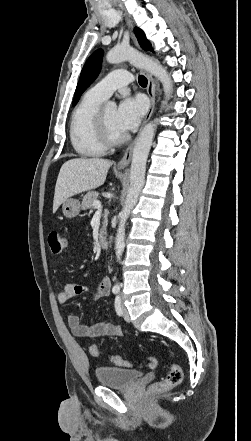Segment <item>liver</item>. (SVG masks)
I'll return each instance as SVG.
<instances>
[{"instance_id": "obj_1", "label": "liver", "mask_w": 251, "mask_h": 441, "mask_svg": "<svg viewBox=\"0 0 251 441\" xmlns=\"http://www.w3.org/2000/svg\"><path fill=\"white\" fill-rule=\"evenodd\" d=\"M112 164L111 161L100 158H75L66 161L56 181L53 212L66 199L101 186Z\"/></svg>"}]
</instances>
